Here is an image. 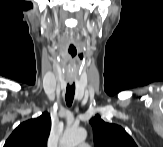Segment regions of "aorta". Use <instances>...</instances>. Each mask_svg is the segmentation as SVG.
Listing matches in <instances>:
<instances>
[{"label":"aorta","mask_w":163,"mask_h":147,"mask_svg":"<svg viewBox=\"0 0 163 147\" xmlns=\"http://www.w3.org/2000/svg\"><path fill=\"white\" fill-rule=\"evenodd\" d=\"M87 137V132L82 127L67 128L60 140L61 147H76Z\"/></svg>","instance_id":"obj_1"}]
</instances>
